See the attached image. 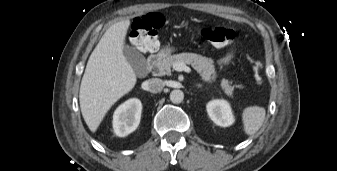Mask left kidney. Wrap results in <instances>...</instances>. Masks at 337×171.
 Wrapping results in <instances>:
<instances>
[{
    "mask_svg": "<svg viewBox=\"0 0 337 171\" xmlns=\"http://www.w3.org/2000/svg\"><path fill=\"white\" fill-rule=\"evenodd\" d=\"M206 108L209 117L216 125L228 127L234 123V116L226 100H212L207 104Z\"/></svg>",
    "mask_w": 337,
    "mask_h": 171,
    "instance_id": "left-kidney-1",
    "label": "left kidney"
}]
</instances>
